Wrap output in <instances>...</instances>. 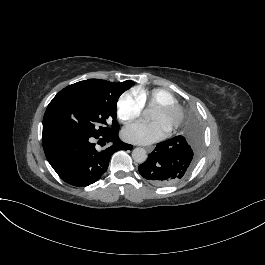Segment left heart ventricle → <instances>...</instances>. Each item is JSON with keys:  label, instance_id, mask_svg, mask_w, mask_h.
Listing matches in <instances>:
<instances>
[{"label": "left heart ventricle", "instance_id": "1", "mask_svg": "<svg viewBox=\"0 0 265 265\" xmlns=\"http://www.w3.org/2000/svg\"><path fill=\"white\" fill-rule=\"evenodd\" d=\"M175 112L172 111L170 113H163L154 109L152 121L153 122H160L164 126L168 127L169 121L174 117Z\"/></svg>", "mask_w": 265, "mask_h": 265}]
</instances>
